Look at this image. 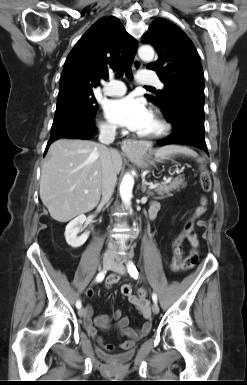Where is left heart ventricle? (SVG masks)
<instances>
[{
    "instance_id": "obj_1",
    "label": "left heart ventricle",
    "mask_w": 247,
    "mask_h": 385,
    "mask_svg": "<svg viewBox=\"0 0 247 385\" xmlns=\"http://www.w3.org/2000/svg\"><path fill=\"white\" fill-rule=\"evenodd\" d=\"M158 128H159V125H158L156 119L153 116H151L147 125L139 132V134H150V133L157 131Z\"/></svg>"
}]
</instances>
